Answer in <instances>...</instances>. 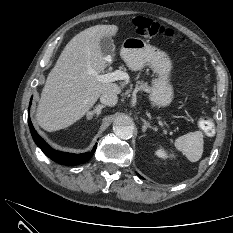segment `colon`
Listing matches in <instances>:
<instances>
[{
    "mask_svg": "<svg viewBox=\"0 0 233 233\" xmlns=\"http://www.w3.org/2000/svg\"><path fill=\"white\" fill-rule=\"evenodd\" d=\"M135 32L143 37H155L158 35H164L167 37H172L174 35L171 29L165 28L158 22L146 18V17H135L132 20ZM199 129L206 135H213L215 132L214 121L210 116H202L198 120Z\"/></svg>",
    "mask_w": 233,
    "mask_h": 233,
    "instance_id": "1",
    "label": "colon"
}]
</instances>
